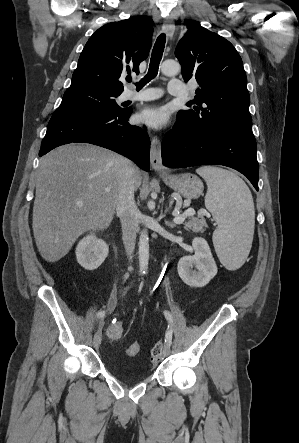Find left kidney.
I'll use <instances>...</instances> for the list:
<instances>
[{"instance_id": "obj_1", "label": "left kidney", "mask_w": 299, "mask_h": 443, "mask_svg": "<svg viewBox=\"0 0 299 443\" xmlns=\"http://www.w3.org/2000/svg\"><path fill=\"white\" fill-rule=\"evenodd\" d=\"M192 247L195 254L184 256L179 260L178 274L185 284L191 287H204L217 274V265L204 238H194Z\"/></svg>"}]
</instances>
